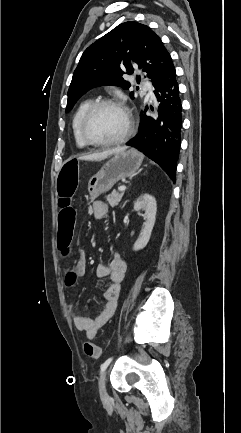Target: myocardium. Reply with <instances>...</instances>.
I'll list each match as a JSON object with an SVG mask.
<instances>
[{
  "mask_svg": "<svg viewBox=\"0 0 241 433\" xmlns=\"http://www.w3.org/2000/svg\"><path fill=\"white\" fill-rule=\"evenodd\" d=\"M104 106H116L118 108H120L126 116V121H127V125H126V129L124 131V133L111 141H98L93 139L88 132V124L89 121L91 119V117L93 116V114L100 109L101 107ZM133 118H132V114L129 110V108L119 99H114V98H104V99H99L94 101L89 107L88 109L85 111L82 120H81V125H80V130H81V134L83 139L85 140V142L88 145L91 146H96V147H110V146H116L119 144L124 143L132 134L133 131Z\"/></svg>",
  "mask_w": 241,
  "mask_h": 433,
  "instance_id": "obj_1",
  "label": "myocardium"
}]
</instances>
